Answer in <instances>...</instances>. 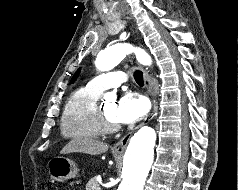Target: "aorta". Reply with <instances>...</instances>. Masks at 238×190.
<instances>
[{
  "mask_svg": "<svg viewBox=\"0 0 238 190\" xmlns=\"http://www.w3.org/2000/svg\"><path fill=\"white\" fill-rule=\"evenodd\" d=\"M133 51L142 64H151L150 56L143 50L127 43H117L99 52L95 62L96 67L100 71H109ZM105 99L114 101L116 95L107 93ZM155 142L156 133L151 127L144 126L132 136L124 155L123 180L118 190H143L153 162Z\"/></svg>",
  "mask_w": 238,
  "mask_h": 190,
  "instance_id": "1",
  "label": "aorta"
}]
</instances>
